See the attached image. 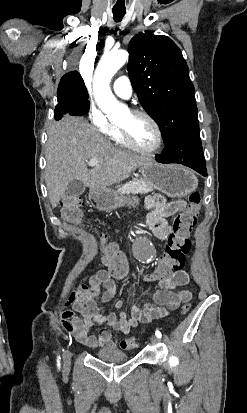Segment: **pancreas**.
<instances>
[{"label": "pancreas", "instance_id": "1", "mask_svg": "<svg viewBox=\"0 0 247 413\" xmlns=\"http://www.w3.org/2000/svg\"><path fill=\"white\" fill-rule=\"evenodd\" d=\"M151 190H153V186L149 182L142 180V178H133V180L121 184L117 192L118 194H138V192L145 194V192H151Z\"/></svg>", "mask_w": 247, "mask_h": 413}]
</instances>
